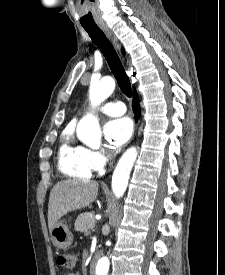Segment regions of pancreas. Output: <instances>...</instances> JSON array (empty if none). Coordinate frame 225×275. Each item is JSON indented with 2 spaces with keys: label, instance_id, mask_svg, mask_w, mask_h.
<instances>
[{
  "label": "pancreas",
  "instance_id": "cf45deb5",
  "mask_svg": "<svg viewBox=\"0 0 225 275\" xmlns=\"http://www.w3.org/2000/svg\"><path fill=\"white\" fill-rule=\"evenodd\" d=\"M95 226V220L88 214H80L74 224L76 231L83 232L84 234H89Z\"/></svg>",
  "mask_w": 225,
  "mask_h": 275
}]
</instances>
